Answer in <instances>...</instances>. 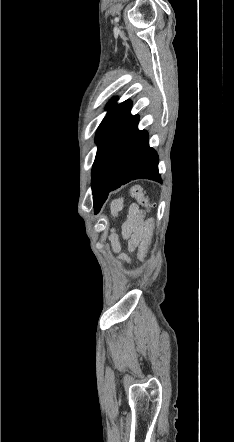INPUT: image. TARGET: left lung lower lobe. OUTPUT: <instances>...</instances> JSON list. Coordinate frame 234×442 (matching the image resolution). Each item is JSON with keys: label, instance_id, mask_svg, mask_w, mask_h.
Listing matches in <instances>:
<instances>
[{"label": "left lung lower lobe", "instance_id": "1", "mask_svg": "<svg viewBox=\"0 0 234 442\" xmlns=\"http://www.w3.org/2000/svg\"><path fill=\"white\" fill-rule=\"evenodd\" d=\"M131 102L117 105L100 124L98 151L92 172L94 209L98 212L108 193L133 179L160 182L158 155L149 147L148 133L139 131L138 115H130Z\"/></svg>", "mask_w": 234, "mask_h": 442}]
</instances>
